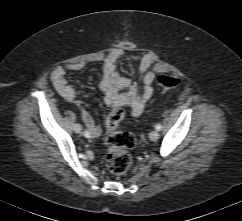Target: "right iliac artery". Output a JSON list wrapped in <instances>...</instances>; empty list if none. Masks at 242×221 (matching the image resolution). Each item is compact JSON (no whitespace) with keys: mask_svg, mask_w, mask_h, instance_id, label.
<instances>
[{"mask_svg":"<svg viewBox=\"0 0 242 221\" xmlns=\"http://www.w3.org/2000/svg\"><path fill=\"white\" fill-rule=\"evenodd\" d=\"M83 134H84V136L87 137V138L90 137V132H89L88 130H85Z\"/></svg>","mask_w":242,"mask_h":221,"instance_id":"1","label":"right iliac artery"}]
</instances>
